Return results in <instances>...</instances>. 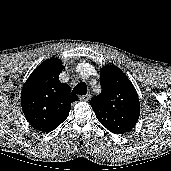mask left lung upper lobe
<instances>
[{"instance_id": "1", "label": "left lung upper lobe", "mask_w": 171, "mask_h": 171, "mask_svg": "<svg viewBox=\"0 0 171 171\" xmlns=\"http://www.w3.org/2000/svg\"><path fill=\"white\" fill-rule=\"evenodd\" d=\"M101 94L91 98L97 119L110 132L131 131L140 115L137 92L128 77L117 67L106 65L100 72Z\"/></svg>"}]
</instances>
